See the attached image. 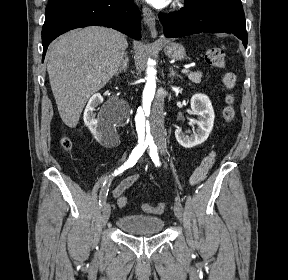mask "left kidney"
Here are the masks:
<instances>
[{
  "label": "left kidney",
  "mask_w": 288,
  "mask_h": 280,
  "mask_svg": "<svg viewBox=\"0 0 288 280\" xmlns=\"http://www.w3.org/2000/svg\"><path fill=\"white\" fill-rule=\"evenodd\" d=\"M191 109L197 120H190V124H196L198 128L191 135H187L180 127L175 130L178 143L185 148L195 147L207 140L214 124V110L208 96L198 93L191 98Z\"/></svg>",
  "instance_id": "left-kidney-1"
}]
</instances>
